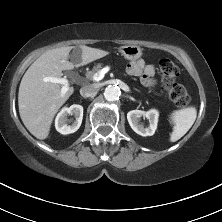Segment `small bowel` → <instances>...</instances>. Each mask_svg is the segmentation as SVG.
<instances>
[{
  "label": "small bowel",
  "mask_w": 222,
  "mask_h": 222,
  "mask_svg": "<svg viewBox=\"0 0 222 222\" xmlns=\"http://www.w3.org/2000/svg\"><path fill=\"white\" fill-rule=\"evenodd\" d=\"M127 72L130 75L138 76L142 84L146 87L152 88L156 86V80L154 78L155 67L152 64H146L144 60L132 62L128 66Z\"/></svg>",
  "instance_id": "1"
}]
</instances>
